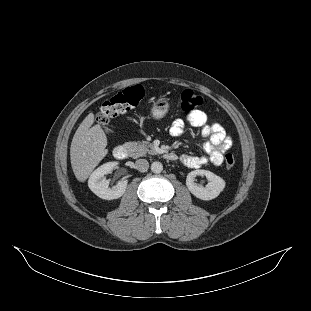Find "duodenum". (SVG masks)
<instances>
[{"mask_svg":"<svg viewBox=\"0 0 311 311\" xmlns=\"http://www.w3.org/2000/svg\"><path fill=\"white\" fill-rule=\"evenodd\" d=\"M127 155V149L123 145H118L113 149V156L118 160L125 159ZM165 158L168 160H175L177 156L174 153L169 152L165 154Z\"/></svg>","mask_w":311,"mask_h":311,"instance_id":"1","label":"duodenum"}]
</instances>
